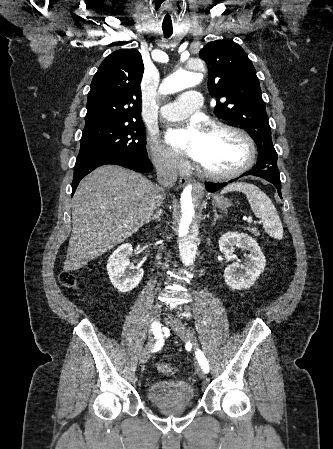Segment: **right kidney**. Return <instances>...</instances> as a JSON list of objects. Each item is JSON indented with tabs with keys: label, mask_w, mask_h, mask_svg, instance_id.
Segmentation results:
<instances>
[{
	"label": "right kidney",
	"mask_w": 333,
	"mask_h": 449,
	"mask_svg": "<svg viewBox=\"0 0 333 449\" xmlns=\"http://www.w3.org/2000/svg\"><path fill=\"white\" fill-rule=\"evenodd\" d=\"M132 250L131 244L122 245L111 254L107 262V272L112 285L123 293L137 287L144 275L140 267L132 271L128 270Z\"/></svg>",
	"instance_id": "obj_1"
}]
</instances>
